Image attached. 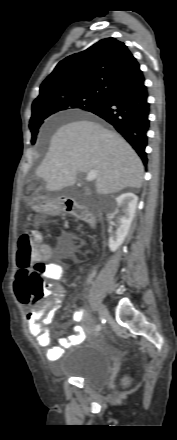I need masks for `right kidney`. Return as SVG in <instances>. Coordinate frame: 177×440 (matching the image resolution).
I'll use <instances>...</instances> for the list:
<instances>
[{
  "label": "right kidney",
  "instance_id": "obj_1",
  "mask_svg": "<svg viewBox=\"0 0 177 440\" xmlns=\"http://www.w3.org/2000/svg\"><path fill=\"white\" fill-rule=\"evenodd\" d=\"M137 202L138 197L131 192L123 193L115 199L114 214L119 208H121L123 216L119 218L120 227L116 231V240H114L112 237L109 238L108 245L112 252H115L124 242L135 216ZM113 215L109 217V219H111Z\"/></svg>",
  "mask_w": 177,
  "mask_h": 440
}]
</instances>
